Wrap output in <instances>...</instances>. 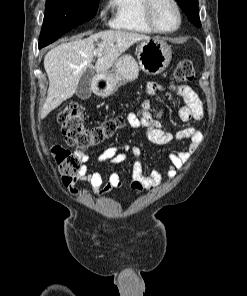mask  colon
Returning <instances> with one entry per match:
<instances>
[{"label": "colon", "mask_w": 247, "mask_h": 296, "mask_svg": "<svg viewBox=\"0 0 247 296\" xmlns=\"http://www.w3.org/2000/svg\"><path fill=\"white\" fill-rule=\"evenodd\" d=\"M194 78L195 70L192 62L189 60L180 61L174 70L173 82H192ZM58 122L68 146L75 147L79 152L97 146L111 137L123 125L121 118H113L95 126H88L85 123L84 108L79 103L67 105L59 113ZM52 155L63 174V182L65 184L73 183L80 168L79 158L75 153L60 145L52 147Z\"/></svg>", "instance_id": "colon-1"}]
</instances>
